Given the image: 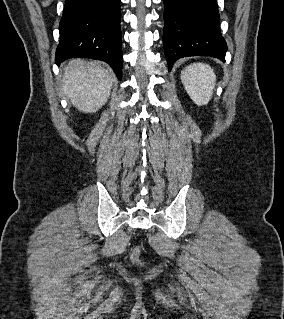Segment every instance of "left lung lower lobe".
<instances>
[{"instance_id":"1","label":"left lung lower lobe","mask_w":284,"mask_h":319,"mask_svg":"<svg viewBox=\"0 0 284 319\" xmlns=\"http://www.w3.org/2000/svg\"><path fill=\"white\" fill-rule=\"evenodd\" d=\"M163 44L169 71L180 58L211 56L225 61L216 0H163Z\"/></svg>"}]
</instances>
